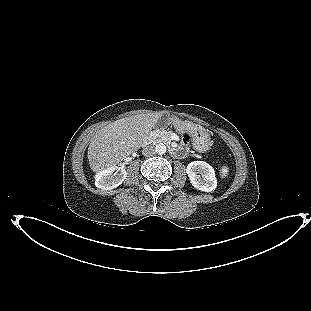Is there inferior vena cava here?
<instances>
[{
	"label": "inferior vena cava",
	"instance_id": "602c4592",
	"mask_svg": "<svg viewBox=\"0 0 311 311\" xmlns=\"http://www.w3.org/2000/svg\"><path fill=\"white\" fill-rule=\"evenodd\" d=\"M154 153H155V149L152 145H148V146L144 147L142 150V154L144 156H152Z\"/></svg>",
	"mask_w": 311,
	"mask_h": 311
}]
</instances>
